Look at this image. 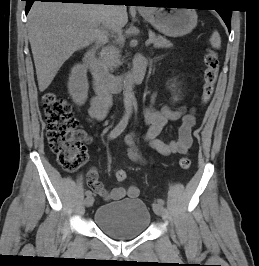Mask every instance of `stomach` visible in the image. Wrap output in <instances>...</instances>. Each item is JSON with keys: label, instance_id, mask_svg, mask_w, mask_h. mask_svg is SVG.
Instances as JSON below:
<instances>
[{"label": "stomach", "instance_id": "1", "mask_svg": "<svg viewBox=\"0 0 259 266\" xmlns=\"http://www.w3.org/2000/svg\"><path fill=\"white\" fill-rule=\"evenodd\" d=\"M168 5H182L172 2ZM153 7L141 11V15L162 34L179 37L190 33L197 25V13L194 9Z\"/></svg>", "mask_w": 259, "mask_h": 266}]
</instances>
